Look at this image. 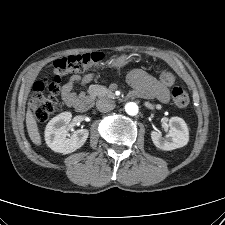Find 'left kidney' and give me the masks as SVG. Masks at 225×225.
<instances>
[{
	"label": "left kidney",
	"instance_id": "obj_1",
	"mask_svg": "<svg viewBox=\"0 0 225 225\" xmlns=\"http://www.w3.org/2000/svg\"><path fill=\"white\" fill-rule=\"evenodd\" d=\"M169 127V133L166 135V138L162 137L159 130L151 132V139L154 145L164 151H171L187 145L189 132L185 121L179 117H172L169 120Z\"/></svg>",
	"mask_w": 225,
	"mask_h": 225
}]
</instances>
